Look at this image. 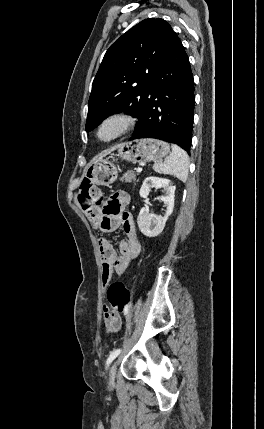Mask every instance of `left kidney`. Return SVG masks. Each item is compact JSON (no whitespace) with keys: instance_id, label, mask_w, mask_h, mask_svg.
Returning a JSON list of instances; mask_svg holds the SVG:
<instances>
[{"instance_id":"1","label":"left kidney","mask_w":264,"mask_h":429,"mask_svg":"<svg viewBox=\"0 0 264 429\" xmlns=\"http://www.w3.org/2000/svg\"><path fill=\"white\" fill-rule=\"evenodd\" d=\"M150 188H163L166 191V195L160 198L167 207L165 214L164 216L152 214L146 208H142L137 218V224L145 236L155 237L162 233L168 217L173 212L176 187L171 185L170 180L150 176L144 180L140 188V196L147 198Z\"/></svg>"}]
</instances>
